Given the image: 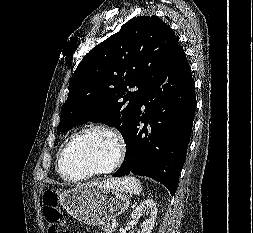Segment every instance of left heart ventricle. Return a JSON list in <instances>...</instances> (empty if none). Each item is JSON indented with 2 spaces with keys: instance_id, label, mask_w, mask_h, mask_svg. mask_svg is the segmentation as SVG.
Wrapping results in <instances>:
<instances>
[{
  "instance_id": "b2bd125f",
  "label": "left heart ventricle",
  "mask_w": 253,
  "mask_h": 233,
  "mask_svg": "<svg viewBox=\"0 0 253 233\" xmlns=\"http://www.w3.org/2000/svg\"><path fill=\"white\" fill-rule=\"evenodd\" d=\"M117 152L112 136L96 131L74 141L67 149L62 163L64 173L70 177L109 166Z\"/></svg>"
}]
</instances>
